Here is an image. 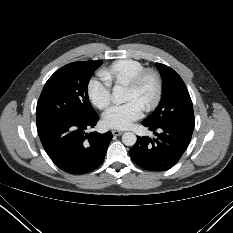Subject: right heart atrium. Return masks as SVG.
Masks as SVG:
<instances>
[{
    "label": "right heart atrium",
    "mask_w": 233,
    "mask_h": 233,
    "mask_svg": "<svg viewBox=\"0 0 233 233\" xmlns=\"http://www.w3.org/2000/svg\"><path fill=\"white\" fill-rule=\"evenodd\" d=\"M90 102L100 110H106L112 103L111 85L101 76L92 77L87 84Z\"/></svg>",
    "instance_id": "right-heart-atrium-1"
}]
</instances>
